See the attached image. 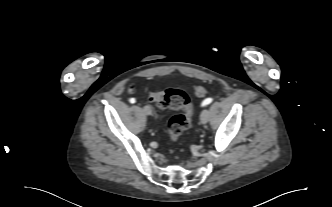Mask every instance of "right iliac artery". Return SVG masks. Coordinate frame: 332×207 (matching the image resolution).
Wrapping results in <instances>:
<instances>
[{
  "label": "right iliac artery",
  "mask_w": 332,
  "mask_h": 207,
  "mask_svg": "<svg viewBox=\"0 0 332 207\" xmlns=\"http://www.w3.org/2000/svg\"><path fill=\"white\" fill-rule=\"evenodd\" d=\"M129 101H130V103H132V104L136 102L135 98H131Z\"/></svg>",
  "instance_id": "1"
}]
</instances>
